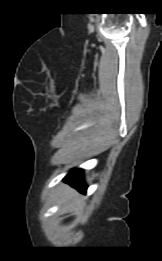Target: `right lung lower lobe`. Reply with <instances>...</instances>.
<instances>
[{"label": "right lung lower lobe", "instance_id": "98d812e1", "mask_svg": "<svg viewBox=\"0 0 162 261\" xmlns=\"http://www.w3.org/2000/svg\"><path fill=\"white\" fill-rule=\"evenodd\" d=\"M66 181H69L75 185L76 188L79 189L80 192L85 193L87 186L83 182V170L75 169L72 170L66 177Z\"/></svg>", "mask_w": 162, "mask_h": 261}]
</instances>
